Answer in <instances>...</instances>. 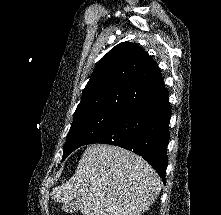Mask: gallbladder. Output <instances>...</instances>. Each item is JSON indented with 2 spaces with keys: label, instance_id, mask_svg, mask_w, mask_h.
<instances>
[{
  "label": "gallbladder",
  "instance_id": "1",
  "mask_svg": "<svg viewBox=\"0 0 221 215\" xmlns=\"http://www.w3.org/2000/svg\"><path fill=\"white\" fill-rule=\"evenodd\" d=\"M62 209L67 213H75L80 210V207L78 204H76L75 201L64 203L62 205Z\"/></svg>",
  "mask_w": 221,
  "mask_h": 215
}]
</instances>
